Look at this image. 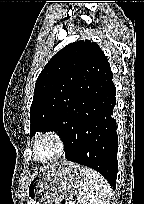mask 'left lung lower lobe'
<instances>
[{
    "instance_id": "left-lung-lower-lobe-1",
    "label": "left lung lower lobe",
    "mask_w": 144,
    "mask_h": 204,
    "mask_svg": "<svg viewBox=\"0 0 144 204\" xmlns=\"http://www.w3.org/2000/svg\"><path fill=\"white\" fill-rule=\"evenodd\" d=\"M112 78L109 63L94 73L86 90V103L64 146L66 159L95 169L115 189L118 136L113 116L116 90Z\"/></svg>"
}]
</instances>
